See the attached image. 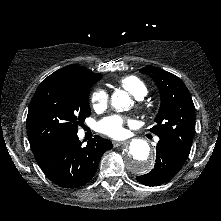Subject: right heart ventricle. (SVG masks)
Returning a JSON list of instances; mask_svg holds the SVG:
<instances>
[{"mask_svg":"<svg viewBox=\"0 0 221 221\" xmlns=\"http://www.w3.org/2000/svg\"><path fill=\"white\" fill-rule=\"evenodd\" d=\"M120 85L133 96L140 99L147 94V88L143 81L136 76H127L120 80Z\"/></svg>","mask_w":221,"mask_h":221,"instance_id":"1","label":"right heart ventricle"}]
</instances>
